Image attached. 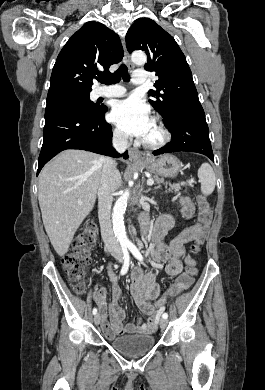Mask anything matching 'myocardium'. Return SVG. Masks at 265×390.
<instances>
[{"label": "myocardium", "mask_w": 265, "mask_h": 390, "mask_svg": "<svg viewBox=\"0 0 265 390\" xmlns=\"http://www.w3.org/2000/svg\"><path fill=\"white\" fill-rule=\"evenodd\" d=\"M154 126L158 132V137L153 141L143 140L142 144L150 150H157L164 147L170 140V133L165 125L158 119L154 120Z\"/></svg>", "instance_id": "1"}]
</instances>
